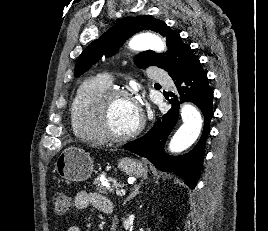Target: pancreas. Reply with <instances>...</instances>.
Returning a JSON list of instances; mask_svg holds the SVG:
<instances>
[{"mask_svg":"<svg viewBox=\"0 0 268 231\" xmlns=\"http://www.w3.org/2000/svg\"><path fill=\"white\" fill-rule=\"evenodd\" d=\"M96 186V189L103 194L113 193L114 189L121 188L123 185L118 183L114 178H106L105 176L101 178H96L93 182ZM110 185V187H109Z\"/></svg>","mask_w":268,"mask_h":231,"instance_id":"obj_1","label":"pancreas"}]
</instances>
